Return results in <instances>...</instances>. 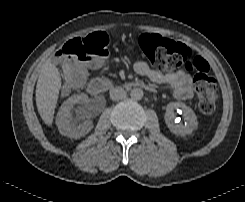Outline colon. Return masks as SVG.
<instances>
[{
	"label": "colon",
	"instance_id": "5ec220e1",
	"mask_svg": "<svg viewBox=\"0 0 245 202\" xmlns=\"http://www.w3.org/2000/svg\"><path fill=\"white\" fill-rule=\"evenodd\" d=\"M110 37L98 32L87 39H71L56 52L62 61V79L74 86L81 81L80 70L75 59L98 68L109 58ZM137 45L146 58L157 70L168 72L183 67L195 74V92L199 110L206 115L215 109L217 99L216 82L209 73L208 64L194 57L192 49L182 43L161 39L149 33L137 38Z\"/></svg>",
	"mask_w": 245,
	"mask_h": 202
}]
</instances>
